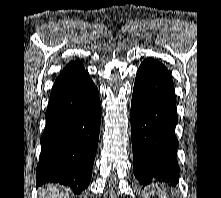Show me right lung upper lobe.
<instances>
[{"label": "right lung upper lobe", "mask_w": 221, "mask_h": 198, "mask_svg": "<svg viewBox=\"0 0 221 198\" xmlns=\"http://www.w3.org/2000/svg\"><path fill=\"white\" fill-rule=\"evenodd\" d=\"M83 72H85V70L81 62L73 61L69 63L55 80V84L53 88H56L58 86H61L73 80L74 78L82 74Z\"/></svg>", "instance_id": "1"}]
</instances>
